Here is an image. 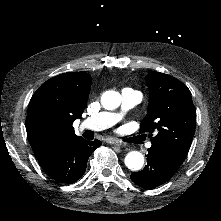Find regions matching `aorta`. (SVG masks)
<instances>
[{
    "instance_id": "762f6f07",
    "label": "aorta",
    "mask_w": 221,
    "mask_h": 221,
    "mask_svg": "<svg viewBox=\"0 0 221 221\" xmlns=\"http://www.w3.org/2000/svg\"><path fill=\"white\" fill-rule=\"evenodd\" d=\"M102 105L107 110H113L119 107L121 96L118 92L112 91L103 94L101 97ZM125 165L131 171H139L144 165V156L139 151H131L125 157Z\"/></svg>"
}]
</instances>
